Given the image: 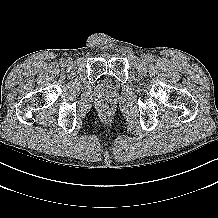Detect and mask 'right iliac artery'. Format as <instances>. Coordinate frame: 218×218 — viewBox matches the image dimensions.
I'll return each mask as SVG.
<instances>
[{
    "label": "right iliac artery",
    "instance_id": "right-iliac-artery-1",
    "mask_svg": "<svg viewBox=\"0 0 218 218\" xmlns=\"http://www.w3.org/2000/svg\"><path fill=\"white\" fill-rule=\"evenodd\" d=\"M60 64H61V65H64V64H65V60L62 59V60L60 61Z\"/></svg>",
    "mask_w": 218,
    "mask_h": 218
}]
</instances>
